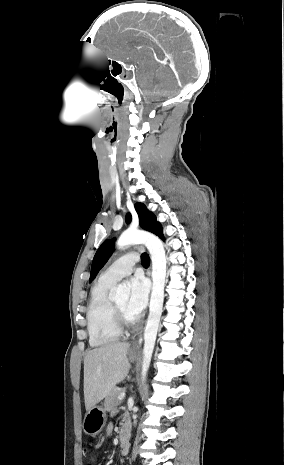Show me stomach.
<instances>
[{
	"mask_svg": "<svg viewBox=\"0 0 284 465\" xmlns=\"http://www.w3.org/2000/svg\"><path fill=\"white\" fill-rule=\"evenodd\" d=\"M130 361H136L138 359L137 351H130ZM106 421V413L102 407H93L90 411H87L83 421V431L90 437H95L100 431H102Z\"/></svg>",
	"mask_w": 284,
	"mask_h": 465,
	"instance_id": "obj_1",
	"label": "stomach"
}]
</instances>
